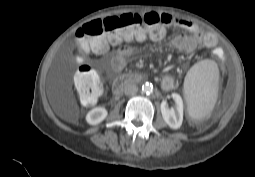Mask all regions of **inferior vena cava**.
<instances>
[{
    "mask_svg": "<svg viewBox=\"0 0 255 177\" xmlns=\"http://www.w3.org/2000/svg\"><path fill=\"white\" fill-rule=\"evenodd\" d=\"M138 92V87L135 84H127L124 87V93L126 95H134Z\"/></svg>",
    "mask_w": 255,
    "mask_h": 177,
    "instance_id": "inferior-vena-cava-1",
    "label": "inferior vena cava"
}]
</instances>
